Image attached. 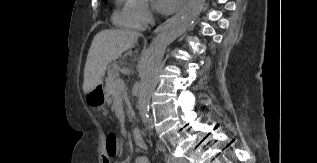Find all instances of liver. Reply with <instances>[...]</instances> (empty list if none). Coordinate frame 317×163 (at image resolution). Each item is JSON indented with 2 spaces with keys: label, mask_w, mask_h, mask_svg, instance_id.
<instances>
[{
  "label": "liver",
  "mask_w": 317,
  "mask_h": 163,
  "mask_svg": "<svg viewBox=\"0 0 317 163\" xmlns=\"http://www.w3.org/2000/svg\"><path fill=\"white\" fill-rule=\"evenodd\" d=\"M139 33L123 29H105L93 38L84 68L85 94L102 83L108 65L134 46Z\"/></svg>",
  "instance_id": "6515ba94"
}]
</instances>
